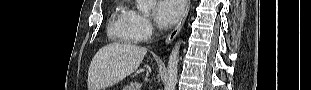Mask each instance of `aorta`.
I'll return each mask as SVG.
<instances>
[{"label":"aorta","mask_w":311,"mask_h":90,"mask_svg":"<svg viewBox=\"0 0 311 90\" xmlns=\"http://www.w3.org/2000/svg\"><path fill=\"white\" fill-rule=\"evenodd\" d=\"M156 0H137V9L144 15L148 16L151 8L155 5ZM178 42L173 48L167 65V80L165 82L164 90H175L178 77V63H179V48Z\"/></svg>","instance_id":"762f6f07"}]
</instances>
